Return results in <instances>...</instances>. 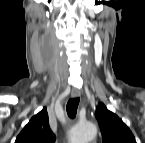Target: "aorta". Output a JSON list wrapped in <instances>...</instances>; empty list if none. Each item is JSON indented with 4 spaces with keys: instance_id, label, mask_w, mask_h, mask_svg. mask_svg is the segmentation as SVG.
<instances>
[{
    "instance_id": "762f6f07",
    "label": "aorta",
    "mask_w": 145,
    "mask_h": 143,
    "mask_svg": "<svg viewBox=\"0 0 145 143\" xmlns=\"http://www.w3.org/2000/svg\"><path fill=\"white\" fill-rule=\"evenodd\" d=\"M97 134L96 126L91 122L81 123L70 131L71 143H88Z\"/></svg>"
}]
</instances>
